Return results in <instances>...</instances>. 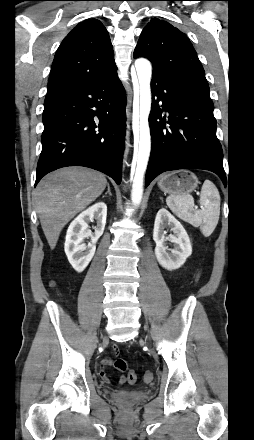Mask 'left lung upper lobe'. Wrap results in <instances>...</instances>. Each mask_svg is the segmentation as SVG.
I'll return each mask as SVG.
<instances>
[{"instance_id":"left-lung-upper-lobe-1","label":"left lung upper lobe","mask_w":254,"mask_h":440,"mask_svg":"<svg viewBox=\"0 0 254 440\" xmlns=\"http://www.w3.org/2000/svg\"><path fill=\"white\" fill-rule=\"evenodd\" d=\"M146 57L153 69L208 98L209 86L204 69L187 36L166 21L153 18L144 27L134 58ZM211 99V98H210Z\"/></svg>"}]
</instances>
